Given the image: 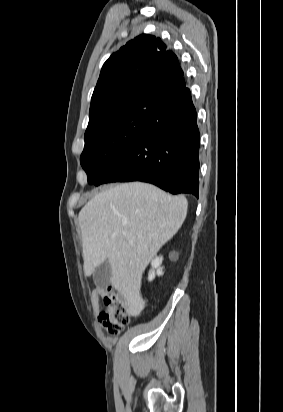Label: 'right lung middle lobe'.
Returning <instances> with one entry per match:
<instances>
[{
    "instance_id": "right-lung-middle-lobe-1",
    "label": "right lung middle lobe",
    "mask_w": 283,
    "mask_h": 412,
    "mask_svg": "<svg viewBox=\"0 0 283 412\" xmlns=\"http://www.w3.org/2000/svg\"><path fill=\"white\" fill-rule=\"evenodd\" d=\"M162 108L160 104H134L95 122L86 130L80 162L89 184H93L122 157Z\"/></svg>"
}]
</instances>
